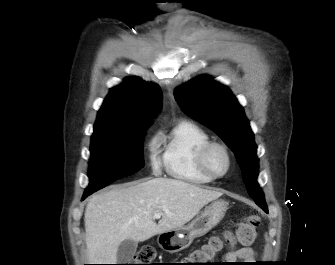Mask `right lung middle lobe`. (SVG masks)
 Here are the masks:
<instances>
[{"label":"right lung middle lobe","mask_w":335,"mask_h":265,"mask_svg":"<svg viewBox=\"0 0 335 265\" xmlns=\"http://www.w3.org/2000/svg\"><path fill=\"white\" fill-rule=\"evenodd\" d=\"M148 124L119 132H98L91 137L89 186L84 194L134 174L144 166L143 138Z\"/></svg>","instance_id":"1"}]
</instances>
